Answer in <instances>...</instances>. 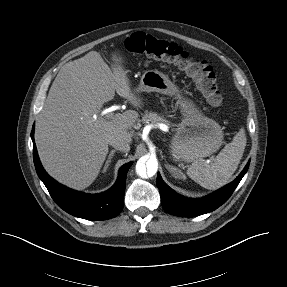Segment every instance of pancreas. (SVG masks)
I'll return each mask as SVG.
<instances>
[{
    "label": "pancreas",
    "mask_w": 287,
    "mask_h": 287,
    "mask_svg": "<svg viewBox=\"0 0 287 287\" xmlns=\"http://www.w3.org/2000/svg\"><path fill=\"white\" fill-rule=\"evenodd\" d=\"M142 121L144 123L147 122H154V123H164L166 124L168 127H171V124L168 120L164 119L162 116L154 113V112H148L146 111L143 116H142Z\"/></svg>",
    "instance_id": "1"
}]
</instances>
